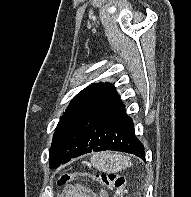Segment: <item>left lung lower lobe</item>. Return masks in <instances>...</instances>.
Segmentation results:
<instances>
[{
    "instance_id": "obj_1",
    "label": "left lung lower lobe",
    "mask_w": 191,
    "mask_h": 197,
    "mask_svg": "<svg viewBox=\"0 0 191 197\" xmlns=\"http://www.w3.org/2000/svg\"><path fill=\"white\" fill-rule=\"evenodd\" d=\"M73 151L61 163L92 151L116 150L145 160L143 144L135 137L134 124L115 88L79 105L67 126Z\"/></svg>"
}]
</instances>
